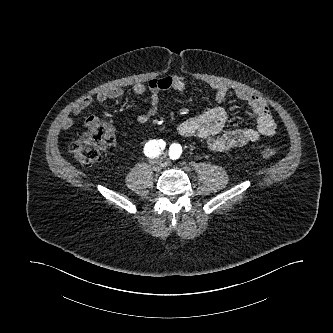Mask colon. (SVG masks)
I'll use <instances>...</instances> for the list:
<instances>
[{
    "label": "colon",
    "instance_id": "5ec220e1",
    "mask_svg": "<svg viewBox=\"0 0 333 333\" xmlns=\"http://www.w3.org/2000/svg\"><path fill=\"white\" fill-rule=\"evenodd\" d=\"M114 140L115 134L112 130L95 126L72 142L70 152L81 165H92L100 161L103 153ZM276 154L277 151L269 147L259 152V156L264 160L274 158Z\"/></svg>",
    "mask_w": 333,
    "mask_h": 333
}]
</instances>
